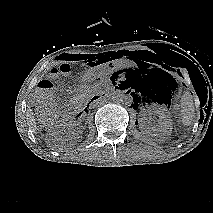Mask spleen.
<instances>
[{"instance_id": "spleen-1", "label": "spleen", "mask_w": 213, "mask_h": 213, "mask_svg": "<svg viewBox=\"0 0 213 213\" xmlns=\"http://www.w3.org/2000/svg\"><path fill=\"white\" fill-rule=\"evenodd\" d=\"M194 104L189 93L183 95L181 100V121L184 126H190L195 117Z\"/></svg>"}]
</instances>
